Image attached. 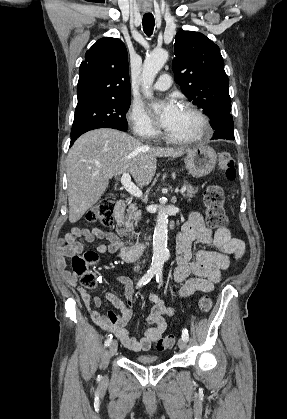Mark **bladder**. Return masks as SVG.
Returning a JSON list of instances; mask_svg holds the SVG:
<instances>
[{
    "label": "bladder",
    "mask_w": 287,
    "mask_h": 419,
    "mask_svg": "<svg viewBox=\"0 0 287 419\" xmlns=\"http://www.w3.org/2000/svg\"><path fill=\"white\" fill-rule=\"evenodd\" d=\"M136 361L142 364H154L157 363L159 359L150 355H139L136 357Z\"/></svg>",
    "instance_id": "31cf9c89"
}]
</instances>
